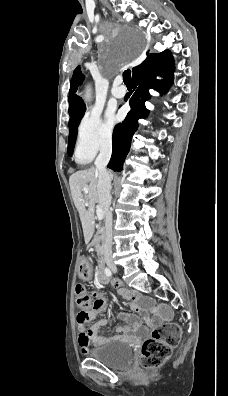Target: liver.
<instances>
[{
    "instance_id": "6515ba94",
    "label": "liver",
    "mask_w": 228,
    "mask_h": 396,
    "mask_svg": "<svg viewBox=\"0 0 228 396\" xmlns=\"http://www.w3.org/2000/svg\"><path fill=\"white\" fill-rule=\"evenodd\" d=\"M98 176V170L94 167H91L86 170L77 171L69 178L72 198L75 207L79 212L86 241L90 240L93 232V212L95 203H99L102 207L97 189ZM110 176L112 177L111 174ZM84 188L87 190V198H85L82 193Z\"/></svg>"
}]
</instances>
